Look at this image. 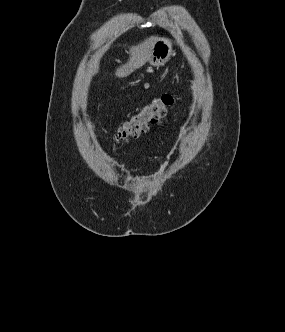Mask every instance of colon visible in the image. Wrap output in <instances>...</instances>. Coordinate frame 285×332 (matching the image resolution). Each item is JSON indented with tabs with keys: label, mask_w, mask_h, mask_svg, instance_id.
I'll list each match as a JSON object with an SVG mask.
<instances>
[{
	"label": "colon",
	"mask_w": 285,
	"mask_h": 332,
	"mask_svg": "<svg viewBox=\"0 0 285 332\" xmlns=\"http://www.w3.org/2000/svg\"><path fill=\"white\" fill-rule=\"evenodd\" d=\"M176 100L177 97L172 94L152 100L119 127L115 139L119 142H127L131 138L138 137L148 129L150 124L157 123L152 121L153 115L166 116Z\"/></svg>",
	"instance_id": "1"
}]
</instances>
